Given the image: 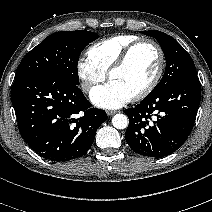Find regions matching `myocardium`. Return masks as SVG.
<instances>
[{"mask_svg": "<svg viewBox=\"0 0 212 212\" xmlns=\"http://www.w3.org/2000/svg\"><path fill=\"white\" fill-rule=\"evenodd\" d=\"M142 45H149L154 48V50L156 51L158 55V67L153 78L150 80V82L142 90H140L138 93L132 96L133 100H141L145 98L146 96H148L155 89V87L158 85V83L160 82L162 78L164 68H165V55L160 45L151 39H138L134 41L133 43H131L122 52L120 57L111 66V68L108 71V78L111 79L112 75L115 72L123 69L126 66L134 50H136L138 47Z\"/></svg>", "mask_w": 212, "mask_h": 212, "instance_id": "f54148a6", "label": "myocardium"}]
</instances>
